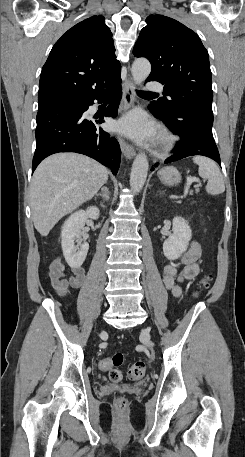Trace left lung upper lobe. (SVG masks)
Returning a JSON list of instances; mask_svg holds the SVG:
<instances>
[{"instance_id":"obj_1","label":"left lung upper lobe","mask_w":245,"mask_h":457,"mask_svg":"<svg viewBox=\"0 0 245 457\" xmlns=\"http://www.w3.org/2000/svg\"><path fill=\"white\" fill-rule=\"evenodd\" d=\"M146 23L133 54L151 62L147 81L164 84L168 98L154 101L157 109L165 115L189 110L212 112L209 56L198 35L163 15H150Z\"/></svg>"}]
</instances>
